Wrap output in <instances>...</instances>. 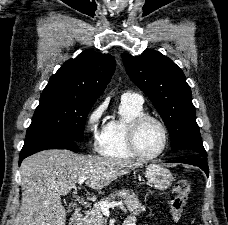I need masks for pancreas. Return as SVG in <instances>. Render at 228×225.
<instances>
[{
  "instance_id": "1",
  "label": "pancreas",
  "mask_w": 228,
  "mask_h": 225,
  "mask_svg": "<svg viewBox=\"0 0 228 225\" xmlns=\"http://www.w3.org/2000/svg\"><path fill=\"white\" fill-rule=\"evenodd\" d=\"M112 197H122L126 209H128L132 215H140V213L146 211V207H142V203H140L137 195L132 193V191H126V189H123V191H117V193H114L111 197H106L103 201H105V203H110ZM83 225H106V219H104L99 205H96V207H93L91 211L85 213Z\"/></svg>"
}]
</instances>
